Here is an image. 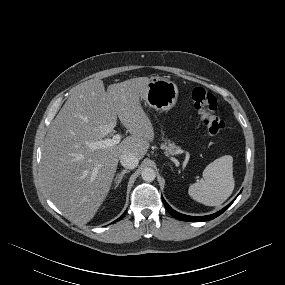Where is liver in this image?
<instances>
[{
    "mask_svg": "<svg viewBox=\"0 0 285 285\" xmlns=\"http://www.w3.org/2000/svg\"><path fill=\"white\" fill-rule=\"evenodd\" d=\"M148 77L132 78L104 88L100 79L75 86L46 134L41 180L50 200L70 221L89 222L106 199L121 155L142 159L154 139L140 95ZM117 118L130 136L107 148L89 143L106 138Z\"/></svg>",
    "mask_w": 285,
    "mask_h": 285,
    "instance_id": "6515ba94",
    "label": "liver"
}]
</instances>
